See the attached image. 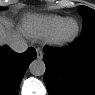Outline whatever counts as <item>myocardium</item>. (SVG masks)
Wrapping results in <instances>:
<instances>
[{"instance_id":"obj_1","label":"myocardium","mask_w":95,"mask_h":95,"mask_svg":"<svg viewBox=\"0 0 95 95\" xmlns=\"http://www.w3.org/2000/svg\"><path fill=\"white\" fill-rule=\"evenodd\" d=\"M75 21L77 24V30L74 35L70 37H64L63 31L65 26L70 22ZM81 33V24L77 18L68 17L65 18L64 21L52 32V34L48 37L49 44L56 47H66L70 44L74 43Z\"/></svg>"}]
</instances>
